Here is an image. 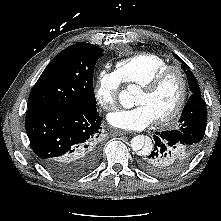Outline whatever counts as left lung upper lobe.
<instances>
[{
	"instance_id": "obj_1",
	"label": "left lung upper lobe",
	"mask_w": 221,
	"mask_h": 221,
	"mask_svg": "<svg viewBox=\"0 0 221 221\" xmlns=\"http://www.w3.org/2000/svg\"><path fill=\"white\" fill-rule=\"evenodd\" d=\"M175 57L182 62L181 66L186 72L189 87L192 91L182 111L177 130L182 132L188 140H191L194 143L193 146L199 148L207 125L206 104L201 97L197 79L190 71L189 66L180 57Z\"/></svg>"
}]
</instances>
